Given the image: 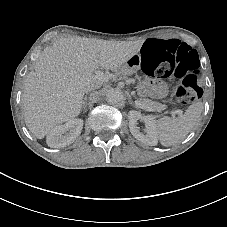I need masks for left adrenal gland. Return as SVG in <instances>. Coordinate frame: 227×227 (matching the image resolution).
I'll return each instance as SVG.
<instances>
[{
  "label": "left adrenal gland",
  "mask_w": 227,
  "mask_h": 227,
  "mask_svg": "<svg viewBox=\"0 0 227 227\" xmlns=\"http://www.w3.org/2000/svg\"><path fill=\"white\" fill-rule=\"evenodd\" d=\"M129 103L133 106V107H135L136 109H138L139 108V106L138 105H136L133 101H129Z\"/></svg>",
  "instance_id": "a2214340"
}]
</instances>
